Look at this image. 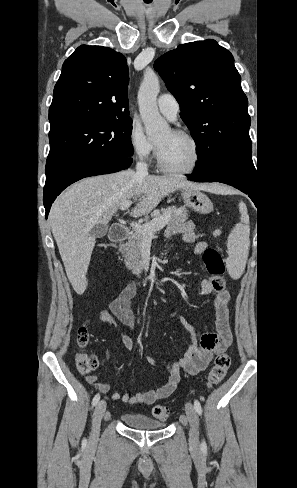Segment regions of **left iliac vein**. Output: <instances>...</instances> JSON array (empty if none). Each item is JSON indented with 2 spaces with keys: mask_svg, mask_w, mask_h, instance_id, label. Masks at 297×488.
Here are the masks:
<instances>
[{
  "mask_svg": "<svg viewBox=\"0 0 297 488\" xmlns=\"http://www.w3.org/2000/svg\"><path fill=\"white\" fill-rule=\"evenodd\" d=\"M185 412L190 423L189 444L194 452L199 451V419L194 406L187 402Z\"/></svg>",
  "mask_w": 297,
  "mask_h": 488,
  "instance_id": "obj_1",
  "label": "left iliac vein"
}]
</instances>
